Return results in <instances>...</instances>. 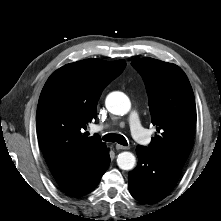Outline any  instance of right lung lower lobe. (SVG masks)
Instances as JSON below:
<instances>
[{
  "label": "right lung lower lobe",
  "instance_id": "98d812e1",
  "mask_svg": "<svg viewBox=\"0 0 221 221\" xmlns=\"http://www.w3.org/2000/svg\"><path fill=\"white\" fill-rule=\"evenodd\" d=\"M109 163L110 157L108 156L105 162L93 173L70 185L61 186L62 190L70 196H83L91 192L99 183L102 175L107 170Z\"/></svg>",
  "mask_w": 221,
  "mask_h": 221
}]
</instances>
